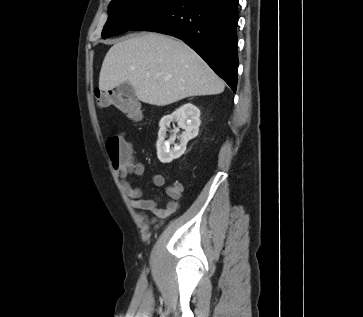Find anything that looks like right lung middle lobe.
<instances>
[{
  "mask_svg": "<svg viewBox=\"0 0 363 317\" xmlns=\"http://www.w3.org/2000/svg\"><path fill=\"white\" fill-rule=\"evenodd\" d=\"M177 0H112L102 37L122 34L169 7Z\"/></svg>",
  "mask_w": 363,
  "mask_h": 317,
  "instance_id": "1",
  "label": "right lung middle lobe"
}]
</instances>
